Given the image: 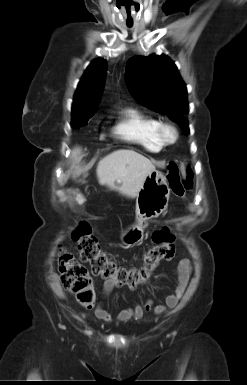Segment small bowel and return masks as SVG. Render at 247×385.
Listing matches in <instances>:
<instances>
[{"label": "small bowel", "mask_w": 247, "mask_h": 385, "mask_svg": "<svg viewBox=\"0 0 247 385\" xmlns=\"http://www.w3.org/2000/svg\"><path fill=\"white\" fill-rule=\"evenodd\" d=\"M192 271V265L189 259H182L177 266V285L173 292L169 293L165 301L153 307L155 314H163L173 311L179 304L188 286ZM114 288V284L106 280L102 289V301H100L94 308V318L98 321L110 322L113 320L112 315L103 307V300L107 298ZM152 301L149 300L144 306L134 305L121 310L117 319L121 322L130 319L140 320L146 310L152 308Z\"/></svg>", "instance_id": "small-bowel-1"}]
</instances>
